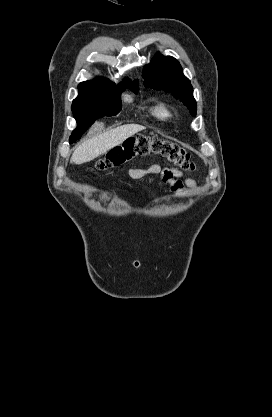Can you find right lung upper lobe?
Returning <instances> with one entry per match:
<instances>
[{"label": "right lung upper lobe", "mask_w": 272, "mask_h": 417, "mask_svg": "<svg viewBox=\"0 0 272 417\" xmlns=\"http://www.w3.org/2000/svg\"><path fill=\"white\" fill-rule=\"evenodd\" d=\"M125 88L131 90L138 88V81L130 82L128 79H124L120 86L102 78L82 82L78 86L79 95L73 102H81L95 94H119Z\"/></svg>", "instance_id": "right-lung-upper-lobe-1"}]
</instances>
